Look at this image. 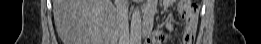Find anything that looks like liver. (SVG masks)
<instances>
[{
    "mask_svg": "<svg viewBox=\"0 0 261 44\" xmlns=\"http://www.w3.org/2000/svg\"><path fill=\"white\" fill-rule=\"evenodd\" d=\"M113 13L111 0L53 1L56 28L64 44L115 42L106 24H123V19Z\"/></svg>",
    "mask_w": 261,
    "mask_h": 44,
    "instance_id": "6515ba94",
    "label": "liver"
}]
</instances>
